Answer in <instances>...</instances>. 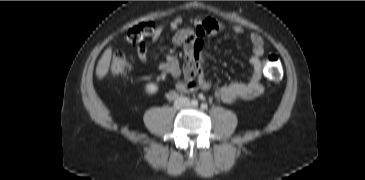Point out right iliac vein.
Here are the masks:
<instances>
[{"label":"right iliac vein","mask_w":365,"mask_h":180,"mask_svg":"<svg viewBox=\"0 0 365 180\" xmlns=\"http://www.w3.org/2000/svg\"><path fill=\"white\" fill-rule=\"evenodd\" d=\"M187 101L184 100V99H180L178 102H177V106L178 107H183L184 105H186Z\"/></svg>","instance_id":"obj_1"}]
</instances>
